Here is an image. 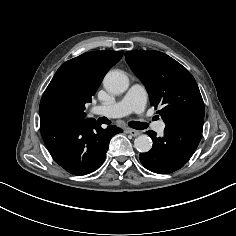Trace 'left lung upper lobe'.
I'll list each match as a JSON object with an SVG mask.
<instances>
[{
  "label": "left lung upper lobe",
  "instance_id": "1",
  "mask_svg": "<svg viewBox=\"0 0 236 236\" xmlns=\"http://www.w3.org/2000/svg\"><path fill=\"white\" fill-rule=\"evenodd\" d=\"M125 59L145 85L151 105L161 106L157 113L166 125L203 122L205 109L198 85L180 63L158 51H128Z\"/></svg>",
  "mask_w": 236,
  "mask_h": 236
}]
</instances>
